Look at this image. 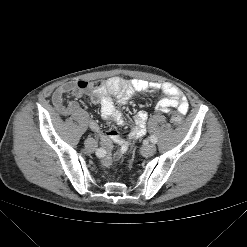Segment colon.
I'll list each match as a JSON object with an SVG mask.
<instances>
[{
    "mask_svg": "<svg viewBox=\"0 0 247 247\" xmlns=\"http://www.w3.org/2000/svg\"><path fill=\"white\" fill-rule=\"evenodd\" d=\"M88 86L93 89H98L101 87V82L93 81L88 83ZM171 121L175 126H180L183 123V118L178 112H174L171 116Z\"/></svg>",
    "mask_w": 247,
    "mask_h": 247,
    "instance_id": "obj_1",
    "label": "colon"
}]
</instances>
